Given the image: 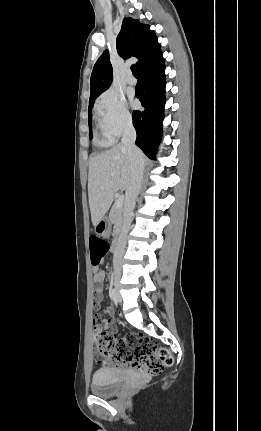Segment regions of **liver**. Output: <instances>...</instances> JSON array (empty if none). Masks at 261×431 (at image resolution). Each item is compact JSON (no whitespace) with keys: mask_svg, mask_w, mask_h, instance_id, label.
Returning <instances> with one entry per match:
<instances>
[{"mask_svg":"<svg viewBox=\"0 0 261 431\" xmlns=\"http://www.w3.org/2000/svg\"><path fill=\"white\" fill-rule=\"evenodd\" d=\"M143 163L145 155L140 150ZM132 166L127 149L122 143L95 155L89 163L88 197L91 220L95 226L109 210L115 193L127 191L130 186Z\"/></svg>","mask_w":261,"mask_h":431,"instance_id":"1","label":"liver"}]
</instances>
